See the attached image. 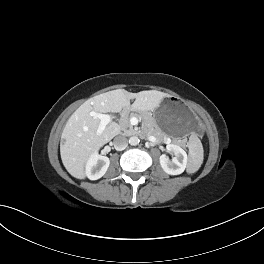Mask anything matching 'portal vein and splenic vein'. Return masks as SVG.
Returning <instances> with one entry per match:
<instances>
[{"label": "portal vein and splenic vein", "mask_w": 264, "mask_h": 264, "mask_svg": "<svg viewBox=\"0 0 264 264\" xmlns=\"http://www.w3.org/2000/svg\"><path fill=\"white\" fill-rule=\"evenodd\" d=\"M92 117L100 119V124L97 130V135H101L105 127L112 121L111 115L91 112Z\"/></svg>", "instance_id": "portal-vein-and-splenic-vein-1"}]
</instances>
